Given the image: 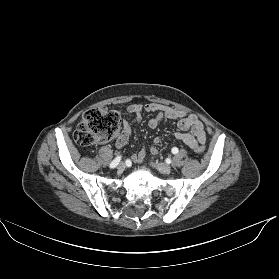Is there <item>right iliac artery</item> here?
Instances as JSON below:
<instances>
[{"mask_svg":"<svg viewBox=\"0 0 279 279\" xmlns=\"http://www.w3.org/2000/svg\"><path fill=\"white\" fill-rule=\"evenodd\" d=\"M121 160V156H117L111 163L110 168H115Z\"/></svg>","mask_w":279,"mask_h":279,"instance_id":"82829eb1","label":"right iliac artery"}]
</instances>
